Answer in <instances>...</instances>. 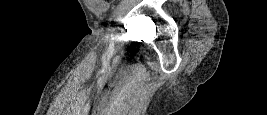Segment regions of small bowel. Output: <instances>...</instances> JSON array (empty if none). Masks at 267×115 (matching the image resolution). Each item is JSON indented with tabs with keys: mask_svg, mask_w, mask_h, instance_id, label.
<instances>
[{
	"mask_svg": "<svg viewBox=\"0 0 267 115\" xmlns=\"http://www.w3.org/2000/svg\"><path fill=\"white\" fill-rule=\"evenodd\" d=\"M87 5L96 12H101L105 9L106 4L98 0H86Z\"/></svg>",
	"mask_w": 267,
	"mask_h": 115,
	"instance_id": "obj_1",
	"label": "small bowel"
}]
</instances>
